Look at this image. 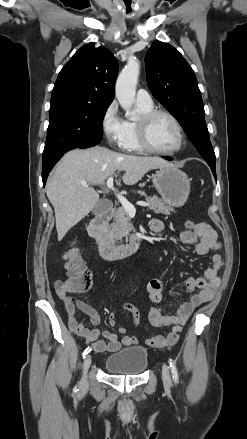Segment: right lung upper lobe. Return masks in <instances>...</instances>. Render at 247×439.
<instances>
[{"mask_svg":"<svg viewBox=\"0 0 247 439\" xmlns=\"http://www.w3.org/2000/svg\"><path fill=\"white\" fill-rule=\"evenodd\" d=\"M118 62L106 48L89 43L73 55L60 71L51 96L59 103L110 105L114 98Z\"/></svg>","mask_w":247,"mask_h":439,"instance_id":"obj_1","label":"right lung upper lobe"}]
</instances>
